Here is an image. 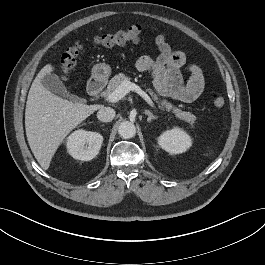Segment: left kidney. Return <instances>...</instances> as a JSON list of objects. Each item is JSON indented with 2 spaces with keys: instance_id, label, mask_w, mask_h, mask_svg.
Here are the masks:
<instances>
[{
  "instance_id": "5707ae66",
  "label": "left kidney",
  "mask_w": 265,
  "mask_h": 265,
  "mask_svg": "<svg viewBox=\"0 0 265 265\" xmlns=\"http://www.w3.org/2000/svg\"><path fill=\"white\" fill-rule=\"evenodd\" d=\"M158 144L170 154H180L191 147L192 139L184 130L174 127L159 136Z\"/></svg>"
}]
</instances>
